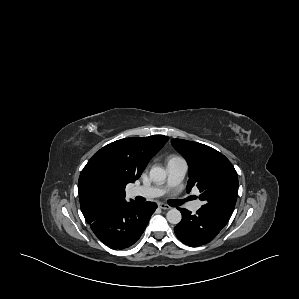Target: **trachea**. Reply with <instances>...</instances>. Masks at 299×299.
<instances>
[{"instance_id":"obj_1","label":"trachea","mask_w":299,"mask_h":299,"mask_svg":"<svg viewBox=\"0 0 299 299\" xmlns=\"http://www.w3.org/2000/svg\"><path fill=\"white\" fill-rule=\"evenodd\" d=\"M182 202H183L182 200H174V201L171 202V205L172 206H178V205L182 204Z\"/></svg>"}]
</instances>
